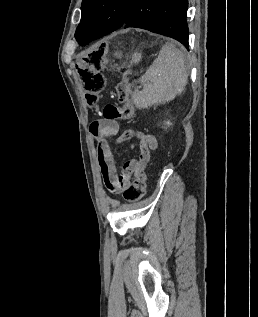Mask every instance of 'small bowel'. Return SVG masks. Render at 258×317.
<instances>
[{
    "label": "small bowel",
    "mask_w": 258,
    "mask_h": 317,
    "mask_svg": "<svg viewBox=\"0 0 258 317\" xmlns=\"http://www.w3.org/2000/svg\"><path fill=\"white\" fill-rule=\"evenodd\" d=\"M90 132L97 142L100 172L106 187L113 193L125 190L131 177L141 173L152 160L153 153L157 148V141L151 134L134 129H127L120 133L119 125L114 120H96L91 124ZM113 136H118L116 138L117 144L133 141L139 145L138 157L125 162L120 173L117 172L116 161L108 141Z\"/></svg>",
    "instance_id": "small-bowel-1"
}]
</instances>
